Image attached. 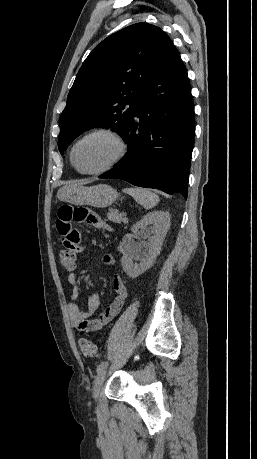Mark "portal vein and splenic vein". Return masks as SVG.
<instances>
[{
	"instance_id": "portal-vein-and-splenic-vein-1",
	"label": "portal vein and splenic vein",
	"mask_w": 257,
	"mask_h": 459,
	"mask_svg": "<svg viewBox=\"0 0 257 459\" xmlns=\"http://www.w3.org/2000/svg\"><path fill=\"white\" fill-rule=\"evenodd\" d=\"M123 215H124L123 221H124V222H127L126 214H123Z\"/></svg>"
}]
</instances>
